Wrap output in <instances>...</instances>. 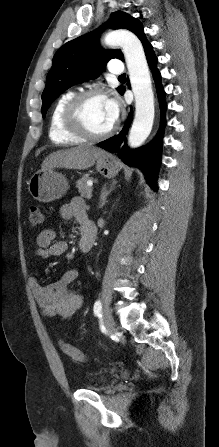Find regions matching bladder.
<instances>
[{"label":"bladder","instance_id":"obj_1","mask_svg":"<svg viewBox=\"0 0 219 447\" xmlns=\"http://www.w3.org/2000/svg\"><path fill=\"white\" fill-rule=\"evenodd\" d=\"M107 379H108V376H106V375L101 376V377H99V378L97 379L95 385H96V386H101V385H103V384L107 381Z\"/></svg>","mask_w":219,"mask_h":447}]
</instances>
